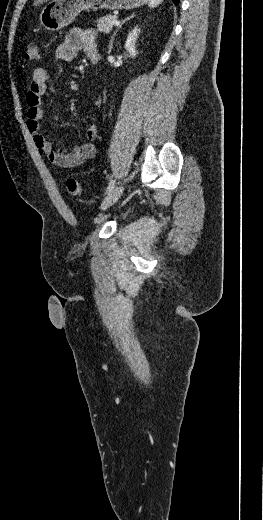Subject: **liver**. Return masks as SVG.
<instances>
[{
    "label": "liver",
    "instance_id": "obj_1",
    "mask_svg": "<svg viewBox=\"0 0 263 520\" xmlns=\"http://www.w3.org/2000/svg\"><path fill=\"white\" fill-rule=\"evenodd\" d=\"M47 1L48 0H34V4L33 5L34 6H38V5L43 4V3L47 2Z\"/></svg>",
    "mask_w": 263,
    "mask_h": 520
}]
</instances>
